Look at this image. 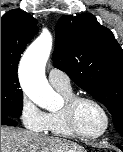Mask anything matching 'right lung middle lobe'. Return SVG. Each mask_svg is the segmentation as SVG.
<instances>
[{
    "mask_svg": "<svg viewBox=\"0 0 123 152\" xmlns=\"http://www.w3.org/2000/svg\"><path fill=\"white\" fill-rule=\"evenodd\" d=\"M17 74L1 72V117L14 118L21 115L23 92Z\"/></svg>",
    "mask_w": 123,
    "mask_h": 152,
    "instance_id": "obj_1",
    "label": "right lung middle lobe"
}]
</instances>
